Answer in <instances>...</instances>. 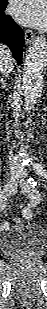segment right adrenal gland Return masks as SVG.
Here are the masks:
<instances>
[{"label": "right adrenal gland", "mask_w": 47, "mask_h": 309, "mask_svg": "<svg viewBox=\"0 0 47 309\" xmlns=\"http://www.w3.org/2000/svg\"><path fill=\"white\" fill-rule=\"evenodd\" d=\"M6 77L7 75H4V74L0 76V83L1 85H3V88L6 87V80H5Z\"/></svg>", "instance_id": "obj_1"}]
</instances>
